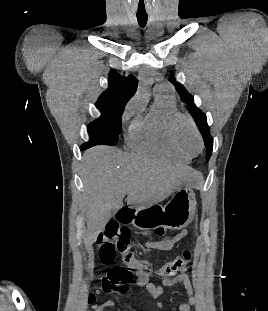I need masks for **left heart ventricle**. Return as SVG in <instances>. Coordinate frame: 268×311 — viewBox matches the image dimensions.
I'll list each match as a JSON object with an SVG mask.
<instances>
[{
	"instance_id": "obj_1",
	"label": "left heart ventricle",
	"mask_w": 268,
	"mask_h": 311,
	"mask_svg": "<svg viewBox=\"0 0 268 311\" xmlns=\"http://www.w3.org/2000/svg\"><path fill=\"white\" fill-rule=\"evenodd\" d=\"M179 138L183 146L191 153L199 150V141L190 126L183 122L179 127Z\"/></svg>"
}]
</instances>
